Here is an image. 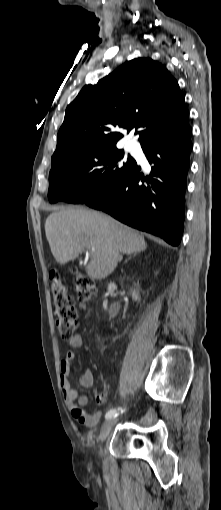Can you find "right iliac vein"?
Segmentation results:
<instances>
[{
	"mask_svg": "<svg viewBox=\"0 0 221 510\" xmlns=\"http://www.w3.org/2000/svg\"><path fill=\"white\" fill-rule=\"evenodd\" d=\"M116 421L117 420L115 418H110V419L106 420L105 423L103 424L100 435H99V440H100L101 444L105 441V439L109 435V433H110L111 429L113 428V426L115 425ZM101 451H102V449L100 447V453H101Z\"/></svg>",
	"mask_w": 221,
	"mask_h": 510,
	"instance_id": "1",
	"label": "right iliac vein"
}]
</instances>
